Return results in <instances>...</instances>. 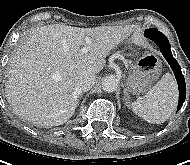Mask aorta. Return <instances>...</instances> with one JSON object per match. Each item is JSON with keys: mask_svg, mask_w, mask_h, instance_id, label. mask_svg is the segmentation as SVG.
Masks as SVG:
<instances>
[{"mask_svg": "<svg viewBox=\"0 0 190 165\" xmlns=\"http://www.w3.org/2000/svg\"><path fill=\"white\" fill-rule=\"evenodd\" d=\"M118 86L119 79L114 75L107 76L102 80V88L108 93L114 92Z\"/></svg>", "mask_w": 190, "mask_h": 165, "instance_id": "762f6f07", "label": "aorta"}]
</instances>
